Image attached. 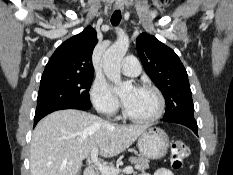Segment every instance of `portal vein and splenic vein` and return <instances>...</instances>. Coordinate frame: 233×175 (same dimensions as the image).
I'll return each instance as SVG.
<instances>
[{
	"instance_id": "18ae733b",
	"label": "portal vein and splenic vein",
	"mask_w": 233,
	"mask_h": 175,
	"mask_svg": "<svg viewBox=\"0 0 233 175\" xmlns=\"http://www.w3.org/2000/svg\"><path fill=\"white\" fill-rule=\"evenodd\" d=\"M91 161L98 168V170L102 173V175H118L120 172L131 174L133 173V167H126L123 170L115 169L111 166H107L106 164H102L98 160V148H94L91 152Z\"/></svg>"
}]
</instances>
